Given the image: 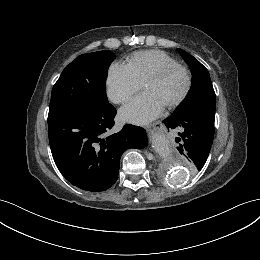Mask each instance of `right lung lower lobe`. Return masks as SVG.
Masks as SVG:
<instances>
[{
    "label": "right lung lower lobe",
    "mask_w": 260,
    "mask_h": 260,
    "mask_svg": "<svg viewBox=\"0 0 260 260\" xmlns=\"http://www.w3.org/2000/svg\"><path fill=\"white\" fill-rule=\"evenodd\" d=\"M115 115L116 109L110 105L99 113H67L48 118L53 159L71 184L90 192L110 188L118 178L123 152L146 145L145 130L131 124L108 135Z\"/></svg>",
    "instance_id": "obj_1"
}]
</instances>
